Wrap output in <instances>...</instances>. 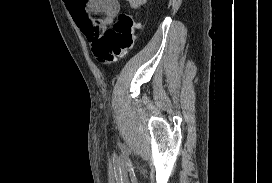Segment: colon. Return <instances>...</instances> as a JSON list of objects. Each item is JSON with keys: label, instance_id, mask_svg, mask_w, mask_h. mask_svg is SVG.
<instances>
[{"label": "colon", "instance_id": "1", "mask_svg": "<svg viewBox=\"0 0 272 183\" xmlns=\"http://www.w3.org/2000/svg\"><path fill=\"white\" fill-rule=\"evenodd\" d=\"M138 25L128 13H121L113 25L92 39L91 49L96 60L111 65L132 48Z\"/></svg>", "mask_w": 272, "mask_h": 183}]
</instances>
